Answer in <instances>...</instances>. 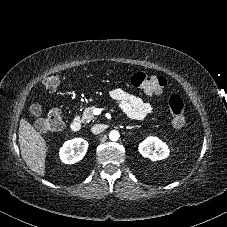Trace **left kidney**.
<instances>
[{
  "instance_id": "1",
  "label": "left kidney",
  "mask_w": 227,
  "mask_h": 227,
  "mask_svg": "<svg viewBox=\"0 0 227 227\" xmlns=\"http://www.w3.org/2000/svg\"><path fill=\"white\" fill-rule=\"evenodd\" d=\"M138 149L142 156L152 161L163 160L169 155V149L166 143L153 136L142 141Z\"/></svg>"
}]
</instances>
